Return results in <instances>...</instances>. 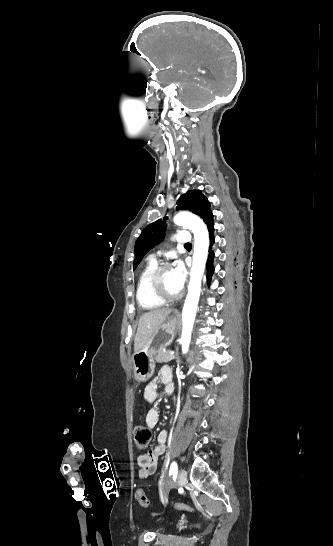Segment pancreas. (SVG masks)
Returning <instances> with one entry per match:
<instances>
[{"label":"pancreas","mask_w":333,"mask_h":546,"mask_svg":"<svg viewBox=\"0 0 333 546\" xmlns=\"http://www.w3.org/2000/svg\"><path fill=\"white\" fill-rule=\"evenodd\" d=\"M175 357L174 355H171L169 352L167 351H159L157 353V356H156V361L159 362V363H167L171 360H173Z\"/></svg>","instance_id":"pancreas-1"}]
</instances>
